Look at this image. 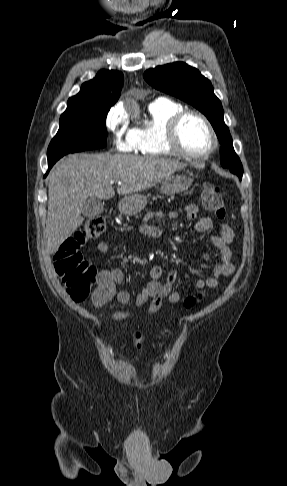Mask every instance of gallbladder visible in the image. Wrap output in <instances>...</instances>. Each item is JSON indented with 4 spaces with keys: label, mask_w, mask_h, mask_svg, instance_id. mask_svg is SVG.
I'll return each instance as SVG.
<instances>
[{
    "label": "gallbladder",
    "mask_w": 287,
    "mask_h": 486,
    "mask_svg": "<svg viewBox=\"0 0 287 486\" xmlns=\"http://www.w3.org/2000/svg\"><path fill=\"white\" fill-rule=\"evenodd\" d=\"M104 204L100 199L88 198L82 207V214L84 217L92 218L100 215L103 212Z\"/></svg>",
    "instance_id": "bac80fb5"
}]
</instances>
